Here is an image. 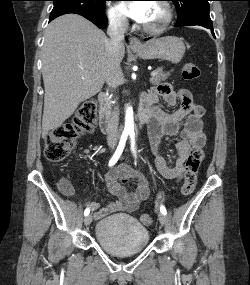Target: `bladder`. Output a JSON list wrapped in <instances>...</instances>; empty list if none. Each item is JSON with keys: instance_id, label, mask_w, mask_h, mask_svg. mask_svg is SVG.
I'll return each mask as SVG.
<instances>
[{"instance_id": "obj_1", "label": "bladder", "mask_w": 250, "mask_h": 285, "mask_svg": "<svg viewBox=\"0 0 250 285\" xmlns=\"http://www.w3.org/2000/svg\"><path fill=\"white\" fill-rule=\"evenodd\" d=\"M95 238L100 247L108 253L126 256L145 249L149 241V233L133 217L116 215L97 223Z\"/></svg>"}]
</instances>
